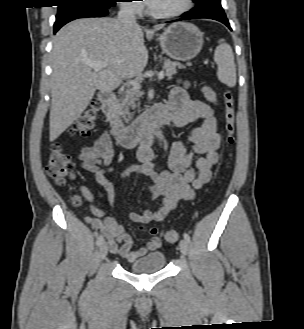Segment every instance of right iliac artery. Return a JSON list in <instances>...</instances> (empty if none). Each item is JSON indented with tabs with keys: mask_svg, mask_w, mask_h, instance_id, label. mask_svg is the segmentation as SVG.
I'll use <instances>...</instances> for the list:
<instances>
[{
	"mask_svg": "<svg viewBox=\"0 0 304 329\" xmlns=\"http://www.w3.org/2000/svg\"><path fill=\"white\" fill-rule=\"evenodd\" d=\"M103 241H104V238H103L102 235H100V236L98 237V239H97L96 244L99 246V245H101V244L103 243Z\"/></svg>",
	"mask_w": 304,
	"mask_h": 329,
	"instance_id": "1",
	"label": "right iliac artery"
}]
</instances>
